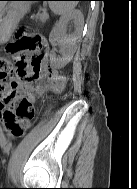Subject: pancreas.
Here are the masks:
<instances>
[{
	"label": "pancreas",
	"mask_w": 137,
	"mask_h": 189,
	"mask_svg": "<svg viewBox=\"0 0 137 189\" xmlns=\"http://www.w3.org/2000/svg\"><path fill=\"white\" fill-rule=\"evenodd\" d=\"M41 17H42L43 19H45V18H47V15H46V14H43Z\"/></svg>",
	"instance_id": "cf45deb5"
}]
</instances>
